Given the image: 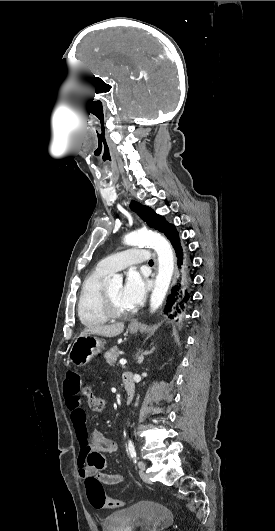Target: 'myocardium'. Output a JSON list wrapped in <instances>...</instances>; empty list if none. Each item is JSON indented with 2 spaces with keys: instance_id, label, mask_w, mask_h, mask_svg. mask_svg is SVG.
<instances>
[{
  "instance_id": "1",
  "label": "myocardium",
  "mask_w": 275,
  "mask_h": 531,
  "mask_svg": "<svg viewBox=\"0 0 275 531\" xmlns=\"http://www.w3.org/2000/svg\"><path fill=\"white\" fill-rule=\"evenodd\" d=\"M102 304H103V308L105 312L111 318H122L124 316H127L131 311V310L127 312L118 311L113 304L109 291L105 288L104 285L102 286Z\"/></svg>"
}]
</instances>
